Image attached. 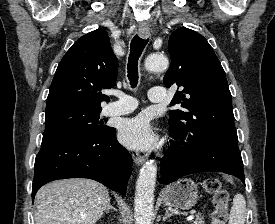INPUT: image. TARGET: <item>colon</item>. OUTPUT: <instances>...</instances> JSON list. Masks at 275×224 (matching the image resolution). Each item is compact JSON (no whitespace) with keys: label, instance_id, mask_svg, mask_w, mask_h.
<instances>
[{"label":"colon","instance_id":"5ec220e1","mask_svg":"<svg viewBox=\"0 0 275 224\" xmlns=\"http://www.w3.org/2000/svg\"><path fill=\"white\" fill-rule=\"evenodd\" d=\"M205 190L212 196L213 212L211 214L212 224H226L228 217L229 194L222 187L220 181L209 177L203 181Z\"/></svg>","mask_w":275,"mask_h":224}]
</instances>
